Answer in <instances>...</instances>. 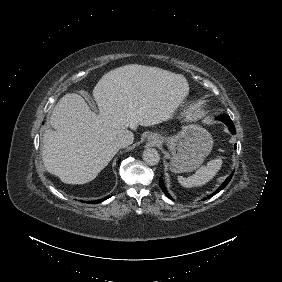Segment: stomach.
I'll list each match as a JSON object with an SVG mask.
<instances>
[{
	"label": "stomach",
	"instance_id": "obj_1",
	"mask_svg": "<svg viewBox=\"0 0 282 282\" xmlns=\"http://www.w3.org/2000/svg\"><path fill=\"white\" fill-rule=\"evenodd\" d=\"M154 134L160 144H165L170 153L168 168L173 173L196 170L214 147L212 134L197 123L195 117L188 124L183 125L177 134Z\"/></svg>",
	"mask_w": 282,
	"mask_h": 282
}]
</instances>
